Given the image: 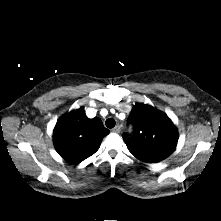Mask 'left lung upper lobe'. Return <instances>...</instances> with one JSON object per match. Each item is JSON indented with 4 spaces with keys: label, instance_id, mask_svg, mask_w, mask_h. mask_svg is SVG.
Segmentation results:
<instances>
[{
    "label": "left lung upper lobe",
    "instance_id": "obj_1",
    "mask_svg": "<svg viewBox=\"0 0 221 221\" xmlns=\"http://www.w3.org/2000/svg\"><path fill=\"white\" fill-rule=\"evenodd\" d=\"M128 123L133 126V131L124 134L123 138L128 150L137 159L156 163L174 152L178 132L165 113L139 103L132 108Z\"/></svg>",
    "mask_w": 221,
    "mask_h": 221
}]
</instances>
